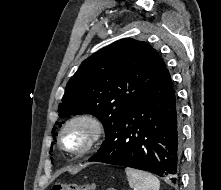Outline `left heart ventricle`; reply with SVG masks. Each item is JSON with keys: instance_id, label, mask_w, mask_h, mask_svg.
Here are the masks:
<instances>
[{"instance_id": "b2bd125f", "label": "left heart ventricle", "mask_w": 221, "mask_h": 190, "mask_svg": "<svg viewBox=\"0 0 221 190\" xmlns=\"http://www.w3.org/2000/svg\"><path fill=\"white\" fill-rule=\"evenodd\" d=\"M88 137V129L83 124H75L65 134L66 145L72 148L83 146Z\"/></svg>"}]
</instances>
